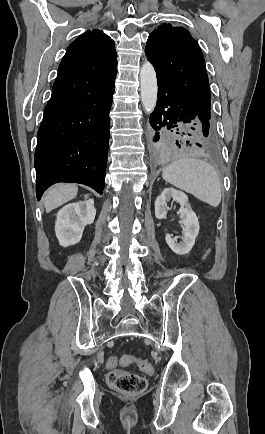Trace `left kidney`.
<instances>
[{
  "instance_id": "obj_1",
  "label": "left kidney",
  "mask_w": 265,
  "mask_h": 434,
  "mask_svg": "<svg viewBox=\"0 0 265 434\" xmlns=\"http://www.w3.org/2000/svg\"><path fill=\"white\" fill-rule=\"evenodd\" d=\"M171 198L181 206L179 214L180 220L182 224H184V236L183 242H180V244H176V240H172L170 234H166L165 240L172 252L179 254V256H184V254H189L195 244V240L199 234V222L188 202L186 194L175 190V188H165L161 196H158L157 200H155V216L158 220L166 218L168 210L167 202H169Z\"/></svg>"
}]
</instances>
